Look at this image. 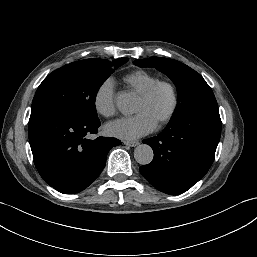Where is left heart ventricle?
Wrapping results in <instances>:
<instances>
[{
	"mask_svg": "<svg viewBox=\"0 0 257 257\" xmlns=\"http://www.w3.org/2000/svg\"><path fill=\"white\" fill-rule=\"evenodd\" d=\"M170 105L171 97L169 91L166 88H160L154 96L147 101L138 98L134 112L137 114L141 112L146 113L157 124L168 112Z\"/></svg>",
	"mask_w": 257,
	"mask_h": 257,
	"instance_id": "obj_1",
	"label": "left heart ventricle"
}]
</instances>
